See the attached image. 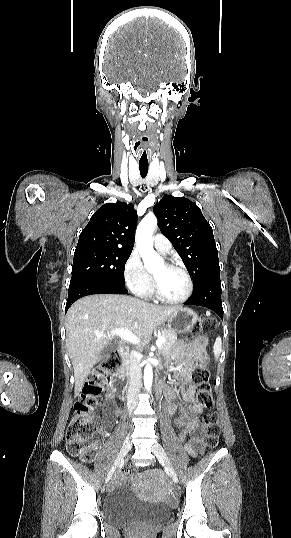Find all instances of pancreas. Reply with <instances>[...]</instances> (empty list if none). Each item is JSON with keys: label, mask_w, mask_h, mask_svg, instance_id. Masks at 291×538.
Segmentation results:
<instances>
[{"label": "pancreas", "mask_w": 291, "mask_h": 538, "mask_svg": "<svg viewBox=\"0 0 291 538\" xmlns=\"http://www.w3.org/2000/svg\"><path fill=\"white\" fill-rule=\"evenodd\" d=\"M161 336L166 340V342H164L163 345L159 347V350L161 352H165L175 344L177 340V335L170 330L164 329L161 332Z\"/></svg>", "instance_id": "pancreas-1"}]
</instances>
